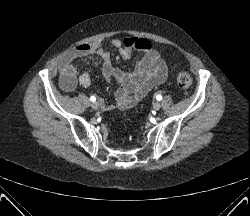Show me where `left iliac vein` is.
<instances>
[{
  "label": "left iliac vein",
  "mask_w": 250,
  "mask_h": 216,
  "mask_svg": "<svg viewBox=\"0 0 250 216\" xmlns=\"http://www.w3.org/2000/svg\"><path fill=\"white\" fill-rule=\"evenodd\" d=\"M152 107L155 111H158L161 108V104L156 101L153 103Z\"/></svg>",
  "instance_id": "4c4485c4"
}]
</instances>
